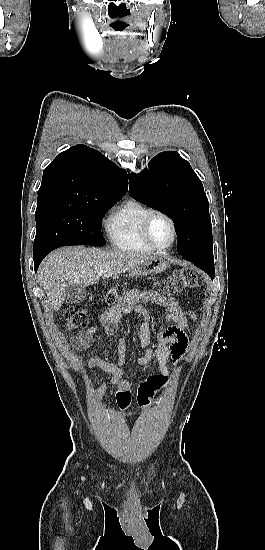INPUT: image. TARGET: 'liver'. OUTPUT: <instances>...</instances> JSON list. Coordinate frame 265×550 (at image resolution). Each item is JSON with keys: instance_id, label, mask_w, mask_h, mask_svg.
<instances>
[{"instance_id": "liver-1", "label": "liver", "mask_w": 265, "mask_h": 550, "mask_svg": "<svg viewBox=\"0 0 265 550\" xmlns=\"http://www.w3.org/2000/svg\"><path fill=\"white\" fill-rule=\"evenodd\" d=\"M149 257L94 247H64L55 250L42 262L39 280L51 306L58 311L64 302L67 285L85 287L96 284L101 276L106 279L133 270Z\"/></svg>"}]
</instances>
